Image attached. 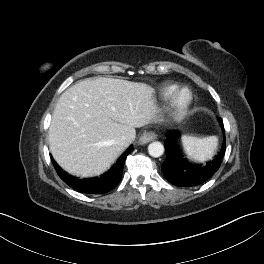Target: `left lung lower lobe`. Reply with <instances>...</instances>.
I'll return each mask as SVG.
<instances>
[{"mask_svg": "<svg viewBox=\"0 0 264 264\" xmlns=\"http://www.w3.org/2000/svg\"><path fill=\"white\" fill-rule=\"evenodd\" d=\"M218 120L224 132L223 121L221 118ZM166 138L167 157L161 168L165 178L171 184L180 187L197 186L208 180L219 169L226 150L225 135L218 155L204 164H194L183 157L178 145L179 136L176 133L167 131Z\"/></svg>", "mask_w": 264, "mask_h": 264, "instance_id": "left-lung-lower-lobe-1", "label": "left lung lower lobe"}]
</instances>
